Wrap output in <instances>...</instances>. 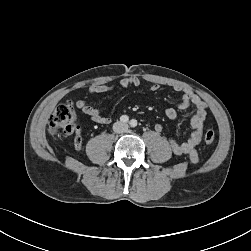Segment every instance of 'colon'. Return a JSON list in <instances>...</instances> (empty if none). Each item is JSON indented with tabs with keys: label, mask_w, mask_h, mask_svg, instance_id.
Segmentation results:
<instances>
[{
	"label": "colon",
	"mask_w": 251,
	"mask_h": 251,
	"mask_svg": "<svg viewBox=\"0 0 251 251\" xmlns=\"http://www.w3.org/2000/svg\"><path fill=\"white\" fill-rule=\"evenodd\" d=\"M48 130L51 134L59 132L74 134L75 144L78 145L81 142L80 129L76 123L75 108L71 101L61 103L56 107L50 117ZM204 142L207 145L214 144L215 132L213 130H207L205 132Z\"/></svg>",
	"instance_id": "5ec220e1"
}]
</instances>
